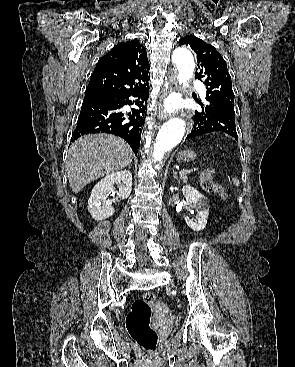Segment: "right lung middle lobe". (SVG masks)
<instances>
[{
  "instance_id": "dd1d6c3e",
  "label": "right lung middle lobe",
  "mask_w": 295,
  "mask_h": 367,
  "mask_svg": "<svg viewBox=\"0 0 295 367\" xmlns=\"http://www.w3.org/2000/svg\"><path fill=\"white\" fill-rule=\"evenodd\" d=\"M100 94H108L99 90H86L85 95H100Z\"/></svg>"
}]
</instances>
